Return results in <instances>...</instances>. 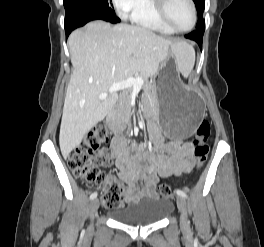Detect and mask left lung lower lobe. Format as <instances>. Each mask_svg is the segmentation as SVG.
<instances>
[{
	"label": "left lung lower lobe",
	"mask_w": 264,
	"mask_h": 247,
	"mask_svg": "<svg viewBox=\"0 0 264 247\" xmlns=\"http://www.w3.org/2000/svg\"><path fill=\"white\" fill-rule=\"evenodd\" d=\"M205 28L196 29L192 33L186 35L185 37L191 40H194L198 43L200 49L202 50V39Z\"/></svg>",
	"instance_id": "obj_1"
}]
</instances>
